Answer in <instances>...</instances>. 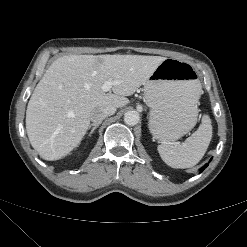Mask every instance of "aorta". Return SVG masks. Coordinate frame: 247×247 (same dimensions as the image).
<instances>
[{
	"mask_svg": "<svg viewBox=\"0 0 247 247\" xmlns=\"http://www.w3.org/2000/svg\"><path fill=\"white\" fill-rule=\"evenodd\" d=\"M140 121V116L137 111L130 110L124 114V122L129 126L137 125Z\"/></svg>",
	"mask_w": 247,
	"mask_h": 247,
	"instance_id": "1",
	"label": "aorta"
}]
</instances>
